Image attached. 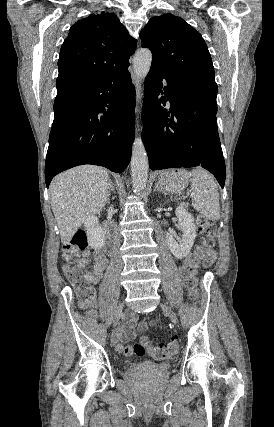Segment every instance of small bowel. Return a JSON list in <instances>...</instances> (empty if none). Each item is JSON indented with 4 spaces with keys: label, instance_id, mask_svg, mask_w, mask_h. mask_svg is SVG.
I'll return each instance as SVG.
<instances>
[{
    "label": "small bowel",
    "instance_id": "small-bowel-1",
    "mask_svg": "<svg viewBox=\"0 0 274 427\" xmlns=\"http://www.w3.org/2000/svg\"><path fill=\"white\" fill-rule=\"evenodd\" d=\"M92 263V270H86V267ZM107 257L103 251V249H95V250H84L81 254L80 259L77 262V267L81 269L88 281L97 284L107 267ZM209 268L213 267L212 263L208 264ZM136 324V316L134 314H130L126 317L123 328L118 329L113 335V342L115 344H119L121 342L131 341L136 337L135 331ZM149 322H141L138 326L139 332H144L148 329Z\"/></svg>",
    "mask_w": 274,
    "mask_h": 427
}]
</instances>
